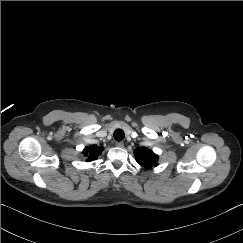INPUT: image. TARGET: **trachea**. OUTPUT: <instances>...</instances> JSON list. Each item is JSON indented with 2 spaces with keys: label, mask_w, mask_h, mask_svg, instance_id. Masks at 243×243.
<instances>
[{
  "label": "trachea",
  "mask_w": 243,
  "mask_h": 243,
  "mask_svg": "<svg viewBox=\"0 0 243 243\" xmlns=\"http://www.w3.org/2000/svg\"><path fill=\"white\" fill-rule=\"evenodd\" d=\"M124 137H125V134H124L123 130H121V129L115 130V132H114V139L116 141H121V140L124 139Z\"/></svg>",
  "instance_id": "obj_1"
}]
</instances>
